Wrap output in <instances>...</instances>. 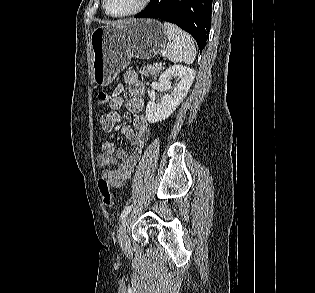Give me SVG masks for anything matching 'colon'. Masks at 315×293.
Here are the masks:
<instances>
[{"mask_svg":"<svg viewBox=\"0 0 315 293\" xmlns=\"http://www.w3.org/2000/svg\"><path fill=\"white\" fill-rule=\"evenodd\" d=\"M109 100V94L105 91H101L97 95V103L99 105H105ZM99 192L102 198L103 203L106 206L114 205V194L111 191V187L108 182L104 179H100L98 182Z\"/></svg>","mask_w":315,"mask_h":293,"instance_id":"5ec220e1","label":"colon"}]
</instances>
